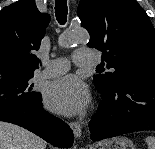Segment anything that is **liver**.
<instances>
[{"mask_svg":"<svg viewBox=\"0 0 155 149\" xmlns=\"http://www.w3.org/2000/svg\"><path fill=\"white\" fill-rule=\"evenodd\" d=\"M46 142L17 125L0 121V149H45Z\"/></svg>","mask_w":155,"mask_h":149,"instance_id":"obj_1","label":"liver"}]
</instances>
